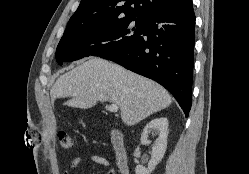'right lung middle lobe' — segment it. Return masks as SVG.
I'll return each mask as SVG.
<instances>
[{
	"label": "right lung middle lobe",
	"instance_id": "right-lung-middle-lobe-1",
	"mask_svg": "<svg viewBox=\"0 0 249 174\" xmlns=\"http://www.w3.org/2000/svg\"><path fill=\"white\" fill-rule=\"evenodd\" d=\"M135 21V26L132 25ZM144 21L134 17L66 28L56 50V61L62 65L87 56L120 52L142 35ZM134 31L132 35L130 33Z\"/></svg>",
	"mask_w": 249,
	"mask_h": 174
}]
</instances>
